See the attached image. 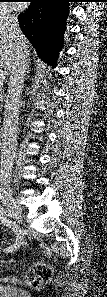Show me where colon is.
<instances>
[{"mask_svg":"<svg viewBox=\"0 0 107 297\" xmlns=\"http://www.w3.org/2000/svg\"><path fill=\"white\" fill-rule=\"evenodd\" d=\"M49 277V269L43 265H39L33 269L29 282L31 285L38 287L42 285Z\"/></svg>","mask_w":107,"mask_h":297,"instance_id":"obj_1","label":"colon"}]
</instances>
